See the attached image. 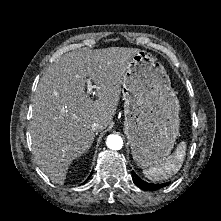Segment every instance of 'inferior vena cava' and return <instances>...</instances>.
<instances>
[{
  "instance_id": "602c4592",
  "label": "inferior vena cava",
  "mask_w": 221,
  "mask_h": 221,
  "mask_svg": "<svg viewBox=\"0 0 221 221\" xmlns=\"http://www.w3.org/2000/svg\"><path fill=\"white\" fill-rule=\"evenodd\" d=\"M93 131H98L101 128V124L97 121L91 125Z\"/></svg>"
}]
</instances>
